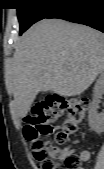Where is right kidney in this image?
Returning <instances> with one entry per match:
<instances>
[{
	"label": "right kidney",
	"mask_w": 104,
	"mask_h": 169,
	"mask_svg": "<svg viewBox=\"0 0 104 169\" xmlns=\"http://www.w3.org/2000/svg\"><path fill=\"white\" fill-rule=\"evenodd\" d=\"M104 93V74L102 73L97 79L94 91H93V102L91 109L89 111V125L97 133H101L104 130V114L98 113V104L100 103V98Z\"/></svg>",
	"instance_id": "obj_1"
}]
</instances>
